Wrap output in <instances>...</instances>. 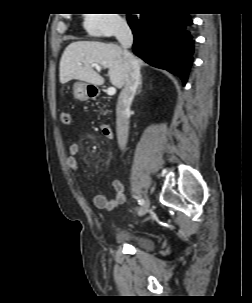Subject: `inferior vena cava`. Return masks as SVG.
Wrapping results in <instances>:
<instances>
[{
	"mask_svg": "<svg viewBox=\"0 0 252 303\" xmlns=\"http://www.w3.org/2000/svg\"><path fill=\"white\" fill-rule=\"evenodd\" d=\"M115 35L123 48L126 69L125 84L116 106L117 140L120 149L124 150L128 139L130 106L139 84L140 67L137 59L128 51L133 43V34L128 24L118 23Z\"/></svg>",
	"mask_w": 252,
	"mask_h": 303,
	"instance_id": "1",
	"label": "inferior vena cava"
}]
</instances>
